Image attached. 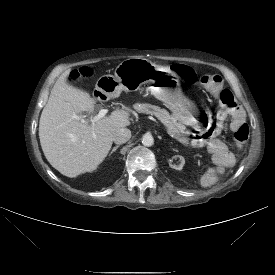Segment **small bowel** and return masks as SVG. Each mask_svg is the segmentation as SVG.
<instances>
[{
  "label": "small bowel",
  "mask_w": 275,
  "mask_h": 275,
  "mask_svg": "<svg viewBox=\"0 0 275 275\" xmlns=\"http://www.w3.org/2000/svg\"><path fill=\"white\" fill-rule=\"evenodd\" d=\"M222 86V79L218 76L216 82L208 86V91L217 96ZM230 130L236 132L242 126H247L246 116L243 109L239 105H235L230 111ZM217 131L214 129L206 130L193 136L191 145L194 150L203 152L208 150L209 160L206 163L200 175L199 180L202 185L211 187L220 182L227 175L228 167L232 166L235 162L234 155L227 151L226 145L223 140L217 138Z\"/></svg>",
  "instance_id": "c3829d8e"
}]
</instances>
